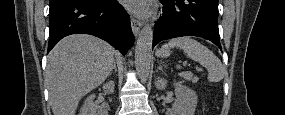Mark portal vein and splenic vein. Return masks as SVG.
Listing matches in <instances>:
<instances>
[{
    "label": "portal vein and splenic vein",
    "mask_w": 285,
    "mask_h": 115,
    "mask_svg": "<svg viewBox=\"0 0 285 115\" xmlns=\"http://www.w3.org/2000/svg\"><path fill=\"white\" fill-rule=\"evenodd\" d=\"M183 65L186 66V65H187V61H184V62H183Z\"/></svg>",
    "instance_id": "18ae733b"
}]
</instances>
